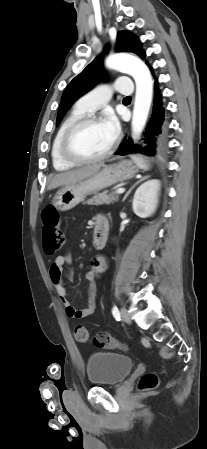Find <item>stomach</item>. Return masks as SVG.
<instances>
[{
    "label": "stomach",
    "mask_w": 207,
    "mask_h": 449,
    "mask_svg": "<svg viewBox=\"0 0 207 449\" xmlns=\"http://www.w3.org/2000/svg\"><path fill=\"white\" fill-rule=\"evenodd\" d=\"M138 171V167L130 160L104 165L95 174L58 190L52 200L53 206L59 211L71 210L83 202L88 195L131 179Z\"/></svg>",
    "instance_id": "0dacf381"
}]
</instances>
